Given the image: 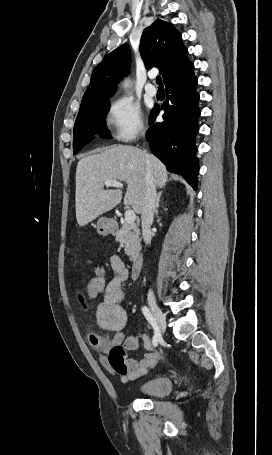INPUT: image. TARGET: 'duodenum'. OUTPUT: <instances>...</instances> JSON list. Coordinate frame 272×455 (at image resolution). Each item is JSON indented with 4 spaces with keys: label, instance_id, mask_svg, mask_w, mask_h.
<instances>
[{
    "label": "duodenum",
    "instance_id": "410a0bca",
    "mask_svg": "<svg viewBox=\"0 0 272 455\" xmlns=\"http://www.w3.org/2000/svg\"><path fill=\"white\" fill-rule=\"evenodd\" d=\"M143 266V257L140 254L134 256L131 267V276L134 279H137L140 275L141 269Z\"/></svg>",
    "mask_w": 272,
    "mask_h": 455
}]
</instances>
